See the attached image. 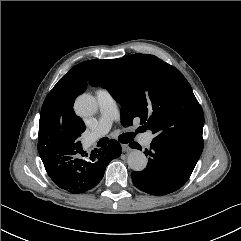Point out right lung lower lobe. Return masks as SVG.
<instances>
[{
	"mask_svg": "<svg viewBox=\"0 0 241 241\" xmlns=\"http://www.w3.org/2000/svg\"><path fill=\"white\" fill-rule=\"evenodd\" d=\"M38 151L54 183L73 194L84 193L95 187L103 178L106 166L122 152L120 144L114 139L108 146L91 154L90 160L84 159L87 153L82 147L62 153Z\"/></svg>",
	"mask_w": 241,
	"mask_h": 241,
	"instance_id": "98d812e1",
	"label": "right lung lower lobe"
}]
</instances>
